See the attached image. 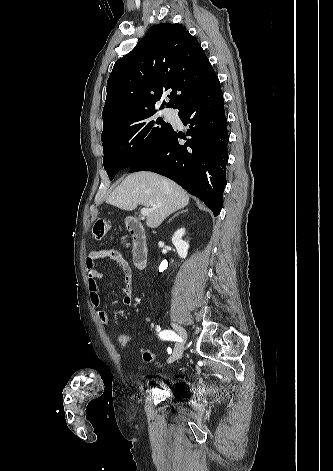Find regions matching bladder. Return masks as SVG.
<instances>
[{
	"mask_svg": "<svg viewBox=\"0 0 333 471\" xmlns=\"http://www.w3.org/2000/svg\"><path fill=\"white\" fill-rule=\"evenodd\" d=\"M176 389H177V390H181L182 388H181L180 386H178Z\"/></svg>",
	"mask_w": 333,
	"mask_h": 471,
	"instance_id": "1",
	"label": "bladder"
}]
</instances>
